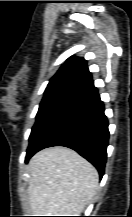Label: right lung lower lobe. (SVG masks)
Returning a JSON list of instances; mask_svg holds the SVG:
<instances>
[{
    "label": "right lung lower lobe",
    "mask_w": 132,
    "mask_h": 217,
    "mask_svg": "<svg viewBox=\"0 0 132 217\" xmlns=\"http://www.w3.org/2000/svg\"><path fill=\"white\" fill-rule=\"evenodd\" d=\"M109 139L104 104L96 91L78 97L64 107L27 149L25 162L39 150L65 146L77 151L104 174Z\"/></svg>",
    "instance_id": "right-lung-lower-lobe-1"
}]
</instances>
